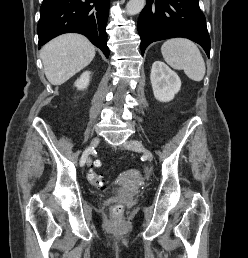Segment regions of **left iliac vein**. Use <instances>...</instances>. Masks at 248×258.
Returning a JSON list of instances; mask_svg holds the SVG:
<instances>
[{
  "label": "left iliac vein",
  "mask_w": 248,
  "mask_h": 258,
  "mask_svg": "<svg viewBox=\"0 0 248 258\" xmlns=\"http://www.w3.org/2000/svg\"><path fill=\"white\" fill-rule=\"evenodd\" d=\"M128 144L131 146L132 150L142 152L144 156L148 159V161L151 162L153 160L152 153L147 148H145V146L141 142L130 141L128 142Z\"/></svg>",
  "instance_id": "obj_1"
}]
</instances>
